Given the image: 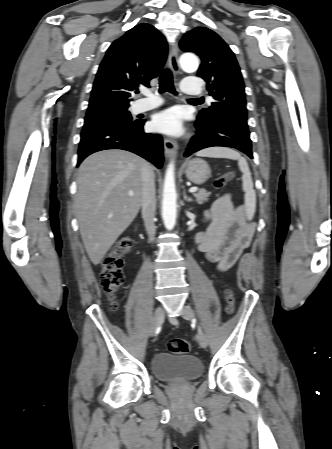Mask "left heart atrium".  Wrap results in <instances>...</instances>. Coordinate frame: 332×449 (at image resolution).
<instances>
[{
  "instance_id": "left-heart-atrium-1",
  "label": "left heart atrium",
  "mask_w": 332,
  "mask_h": 449,
  "mask_svg": "<svg viewBox=\"0 0 332 449\" xmlns=\"http://www.w3.org/2000/svg\"><path fill=\"white\" fill-rule=\"evenodd\" d=\"M154 131L169 135L180 134L183 129V117L179 109L170 108L157 113L151 122Z\"/></svg>"
}]
</instances>
